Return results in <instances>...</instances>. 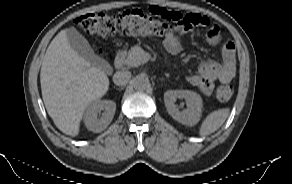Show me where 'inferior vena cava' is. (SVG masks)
Masks as SVG:
<instances>
[{
  "label": "inferior vena cava",
  "instance_id": "1",
  "mask_svg": "<svg viewBox=\"0 0 292 184\" xmlns=\"http://www.w3.org/2000/svg\"><path fill=\"white\" fill-rule=\"evenodd\" d=\"M131 78L129 71H118L113 76V82L117 86H125Z\"/></svg>",
  "mask_w": 292,
  "mask_h": 184
}]
</instances>
